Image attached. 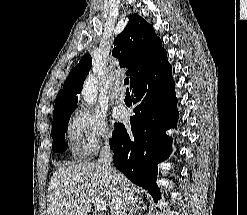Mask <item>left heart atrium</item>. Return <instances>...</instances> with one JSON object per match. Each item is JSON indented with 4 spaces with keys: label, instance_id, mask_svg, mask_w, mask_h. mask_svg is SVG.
<instances>
[{
    "label": "left heart atrium",
    "instance_id": "1",
    "mask_svg": "<svg viewBox=\"0 0 247 215\" xmlns=\"http://www.w3.org/2000/svg\"><path fill=\"white\" fill-rule=\"evenodd\" d=\"M124 116V112L121 109H117L114 112V118L115 119H121Z\"/></svg>",
    "mask_w": 247,
    "mask_h": 215
}]
</instances>
